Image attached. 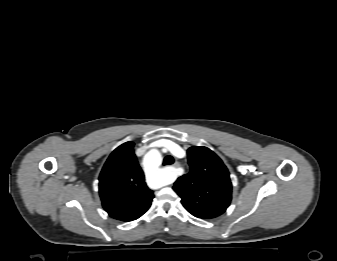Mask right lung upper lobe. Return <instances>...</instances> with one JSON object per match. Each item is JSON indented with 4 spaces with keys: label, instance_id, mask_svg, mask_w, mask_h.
Listing matches in <instances>:
<instances>
[{
    "label": "right lung upper lobe",
    "instance_id": "right-lung-upper-lobe-1",
    "mask_svg": "<svg viewBox=\"0 0 337 261\" xmlns=\"http://www.w3.org/2000/svg\"><path fill=\"white\" fill-rule=\"evenodd\" d=\"M129 141L117 147L107 159L99 176L102 206L114 219L133 221L141 217L154 198L144 179Z\"/></svg>",
    "mask_w": 337,
    "mask_h": 261
}]
</instances>
